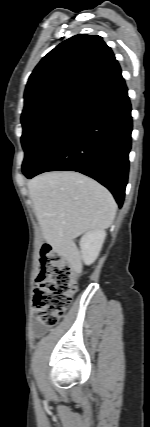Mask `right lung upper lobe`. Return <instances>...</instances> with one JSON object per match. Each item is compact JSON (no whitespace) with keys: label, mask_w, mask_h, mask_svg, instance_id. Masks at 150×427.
<instances>
[{"label":"right lung upper lobe","mask_w":150,"mask_h":427,"mask_svg":"<svg viewBox=\"0 0 150 427\" xmlns=\"http://www.w3.org/2000/svg\"><path fill=\"white\" fill-rule=\"evenodd\" d=\"M120 79V66L100 36H73L50 51L32 72L22 116L53 104L81 106Z\"/></svg>","instance_id":"cb5924a9"}]
</instances>
